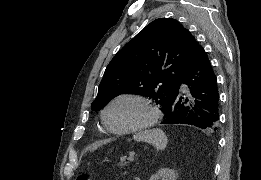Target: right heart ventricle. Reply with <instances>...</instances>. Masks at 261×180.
Returning a JSON list of instances; mask_svg holds the SVG:
<instances>
[{
	"instance_id": "e07e8e85",
	"label": "right heart ventricle",
	"mask_w": 261,
	"mask_h": 180,
	"mask_svg": "<svg viewBox=\"0 0 261 180\" xmlns=\"http://www.w3.org/2000/svg\"><path fill=\"white\" fill-rule=\"evenodd\" d=\"M99 135H102V136H108V135H110L108 132H106L104 129H100L99 130Z\"/></svg>"
}]
</instances>
